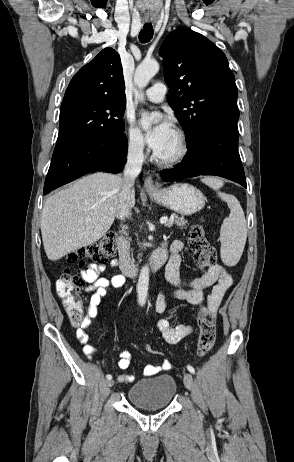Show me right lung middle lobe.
Here are the masks:
<instances>
[{
	"instance_id": "dd1d6c3e",
	"label": "right lung middle lobe",
	"mask_w": 294,
	"mask_h": 462,
	"mask_svg": "<svg viewBox=\"0 0 294 462\" xmlns=\"http://www.w3.org/2000/svg\"><path fill=\"white\" fill-rule=\"evenodd\" d=\"M126 99L79 97L63 101L57 143L73 137L123 133Z\"/></svg>"
}]
</instances>
